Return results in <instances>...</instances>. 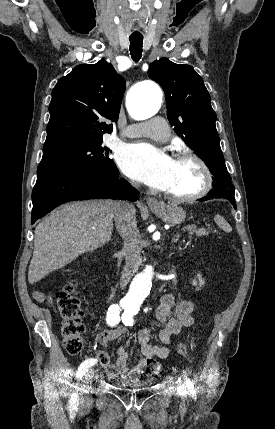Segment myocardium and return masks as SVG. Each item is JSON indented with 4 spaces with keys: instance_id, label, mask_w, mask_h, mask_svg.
Listing matches in <instances>:
<instances>
[{
    "instance_id": "myocardium-1",
    "label": "myocardium",
    "mask_w": 275,
    "mask_h": 429,
    "mask_svg": "<svg viewBox=\"0 0 275 429\" xmlns=\"http://www.w3.org/2000/svg\"><path fill=\"white\" fill-rule=\"evenodd\" d=\"M175 160H190L196 163L202 172L203 182L200 189L192 194L175 195L164 191V195L168 199L176 202H191L206 196L210 192L213 185L212 173L207 163L200 156L190 151L178 152L175 155Z\"/></svg>"
}]
</instances>
